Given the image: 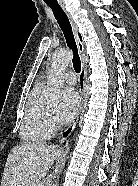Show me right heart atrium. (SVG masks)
I'll return each mask as SVG.
<instances>
[{
    "label": "right heart atrium",
    "mask_w": 138,
    "mask_h": 186,
    "mask_svg": "<svg viewBox=\"0 0 138 186\" xmlns=\"http://www.w3.org/2000/svg\"><path fill=\"white\" fill-rule=\"evenodd\" d=\"M48 125L51 131H54L57 127L55 118L53 117V115L50 113L48 116Z\"/></svg>",
    "instance_id": "d8ad5b80"
}]
</instances>
